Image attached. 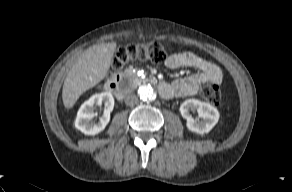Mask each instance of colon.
Listing matches in <instances>:
<instances>
[{
  "instance_id": "1",
  "label": "colon",
  "mask_w": 292,
  "mask_h": 192,
  "mask_svg": "<svg viewBox=\"0 0 292 192\" xmlns=\"http://www.w3.org/2000/svg\"><path fill=\"white\" fill-rule=\"evenodd\" d=\"M166 47L158 41L129 44L119 48L112 61L113 72L121 70L130 61L161 63L166 59ZM201 96L212 104H219L222 93L217 84H209L201 89Z\"/></svg>"
}]
</instances>
